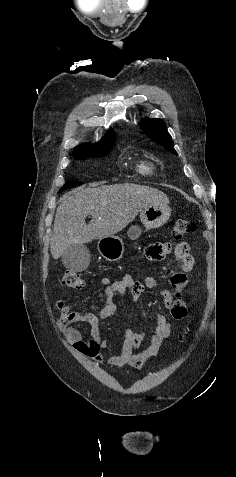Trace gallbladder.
Returning a JSON list of instances; mask_svg holds the SVG:
<instances>
[{
  "label": "gallbladder",
  "instance_id": "bac80fb5",
  "mask_svg": "<svg viewBox=\"0 0 236 477\" xmlns=\"http://www.w3.org/2000/svg\"><path fill=\"white\" fill-rule=\"evenodd\" d=\"M63 265L70 271L85 270L90 262V252L84 244H72L62 255Z\"/></svg>",
  "mask_w": 236,
  "mask_h": 477
}]
</instances>
